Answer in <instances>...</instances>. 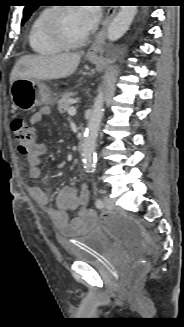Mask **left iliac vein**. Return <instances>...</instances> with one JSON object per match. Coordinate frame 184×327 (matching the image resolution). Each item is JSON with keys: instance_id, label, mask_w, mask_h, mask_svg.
<instances>
[{"instance_id": "left-iliac-vein-1", "label": "left iliac vein", "mask_w": 184, "mask_h": 327, "mask_svg": "<svg viewBox=\"0 0 184 327\" xmlns=\"http://www.w3.org/2000/svg\"><path fill=\"white\" fill-rule=\"evenodd\" d=\"M103 199H104V204H105L106 208L114 209V202L110 197L105 196Z\"/></svg>"}]
</instances>
